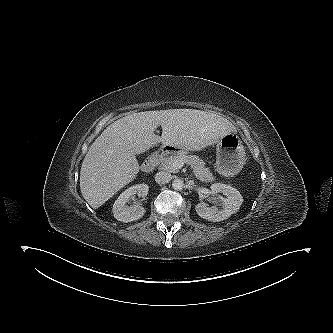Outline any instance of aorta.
Listing matches in <instances>:
<instances>
[{
  "label": "aorta",
  "mask_w": 333,
  "mask_h": 333,
  "mask_svg": "<svg viewBox=\"0 0 333 333\" xmlns=\"http://www.w3.org/2000/svg\"><path fill=\"white\" fill-rule=\"evenodd\" d=\"M172 187L174 190H182L184 188V182L181 179H175L172 183Z\"/></svg>",
  "instance_id": "1"
}]
</instances>
